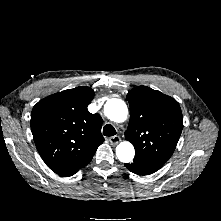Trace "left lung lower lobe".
<instances>
[{
	"mask_svg": "<svg viewBox=\"0 0 221 221\" xmlns=\"http://www.w3.org/2000/svg\"><path fill=\"white\" fill-rule=\"evenodd\" d=\"M163 166L162 163L139 159L134 157L133 163L125 164V167L128 168L131 172L137 175H149L157 170H159Z\"/></svg>",
	"mask_w": 221,
	"mask_h": 221,
	"instance_id": "obj_1",
	"label": "left lung lower lobe"
}]
</instances>
